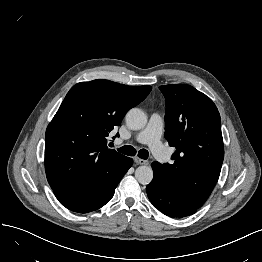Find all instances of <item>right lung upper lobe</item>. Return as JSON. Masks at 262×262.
Here are the masks:
<instances>
[{
    "mask_svg": "<svg viewBox=\"0 0 262 262\" xmlns=\"http://www.w3.org/2000/svg\"><path fill=\"white\" fill-rule=\"evenodd\" d=\"M151 89L104 79L70 89L45 135V170L54 192H100L112 185L126 157L109 149L106 137Z\"/></svg>",
    "mask_w": 262,
    "mask_h": 262,
    "instance_id": "obj_1",
    "label": "right lung upper lobe"
}]
</instances>
